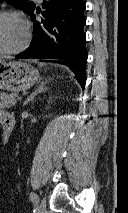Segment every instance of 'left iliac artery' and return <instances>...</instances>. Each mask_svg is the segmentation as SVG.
<instances>
[{"instance_id": "1", "label": "left iliac artery", "mask_w": 128, "mask_h": 213, "mask_svg": "<svg viewBox=\"0 0 128 213\" xmlns=\"http://www.w3.org/2000/svg\"><path fill=\"white\" fill-rule=\"evenodd\" d=\"M30 199H31V201L34 202V203H38V201H39L38 195L35 194L34 192H31V193H30Z\"/></svg>"}]
</instances>
